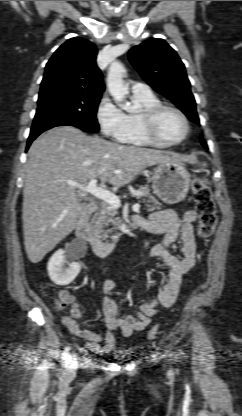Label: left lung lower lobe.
I'll return each instance as SVG.
<instances>
[{
    "instance_id": "1",
    "label": "left lung lower lobe",
    "mask_w": 242,
    "mask_h": 416,
    "mask_svg": "<svg viewBox=\"0 0 242 416\" xmlns=\"http://www.w3.org/2000/svg\"><path fill=\"white\" fill-rule=\"evenodd\" d=\"M200 141H201L202 145H203L205 148H207V145H206V143L203 141V139H202V138H200Z\"/></svg>"
}]
</instances>
